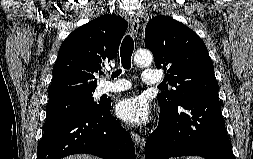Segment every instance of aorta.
<instances>
[{"label": "aorta", "instance_id": "762f6f07", "mask_svg": "<svg viewBox=\"0 0 253 159\" xmlns=\"http://www.w3.org/2000/svg\"><path fill=\"white\" fill-rule=\"evenodd\" d=\"M153 56L150 51L138 50L134 55V62L140 66H148L152 63Z\"/></svg>", "mask_w": 253, "mask_h": 159}]
</instances>
